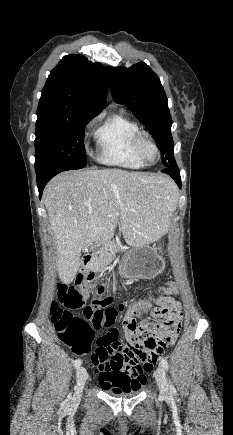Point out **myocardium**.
<instances>
[{
  "label": "myocardium",
  "mask_w": 233,
  "mask_h": 435,
  "mask_svg": "<svg viewBox=\"0 0 233 435\" xmlns=\"http://www.w3.org/2000/svg\"><path fill=\"white\" fill-rule=\"evenodd\" d=\"M135 146L137 149V152L139 154V156L141 157V159L144 161V163L146 165H156L158 163V161L160 160L161 157V152L160 149L157 145V143L154 141V139L150 136L149 133L145 132V131H139L136 136H135ZM147 146H151L157 155V159L155 162H151L146 154V147Z\"/></svg>",
  "instance_id": "myocardium-1"
}]
</instances>
